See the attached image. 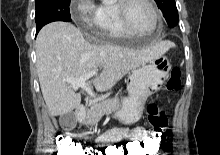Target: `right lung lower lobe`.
<instances>
[{
	"mask_svg": "<svg viewBox=\"0 0 220 155\" xmlns=\"http://www.w3.org/2000/svg\"><path fill=\"white\" fill-rule=\"evenodd\" d=\"M39 30H40V29H37L36 33H38V32H39Z\"/></svg>",
	"mask_w": 220,
	"mask_h": 155,
	"instance_id": "98d812e1",
	"label": "right lung lower lobe"
}]
</instances>
